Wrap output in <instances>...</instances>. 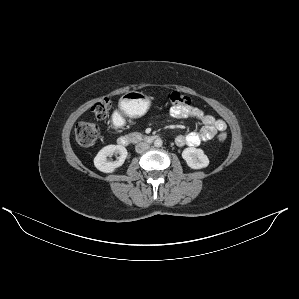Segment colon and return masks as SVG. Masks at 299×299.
I'll return each mask as SVG.
<instances>
[{"label": "colon", "mask_w": 299, "mask_h": 299, "mask_svg": "<svg viewBox=\"0 0 299 299\" xmlns=\"http://www.w3.org/2000/svg\"><path fill=\"white\" fill-rule=\"evenodd\" d=\"M166 100L169 106H186L189 104V98L178 92L170 91L166 95ZM110 109V101L107 98H103L96 102L92 107L94 116L98 119H104ZM100 134L99 127L92 122L79 123L75 128V139L81 146H91L96 142ZM219 141L223 142L227 139L226 133L222 132L218 135Z\"/></svg>", "instance_id": "obj_1"}]
</instances>
